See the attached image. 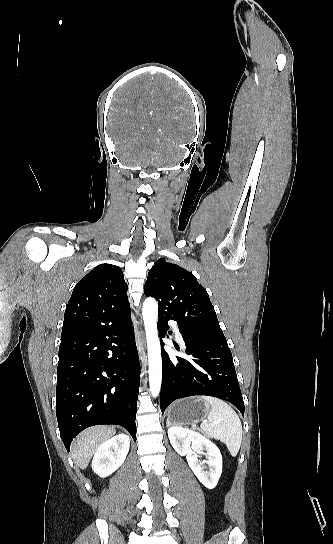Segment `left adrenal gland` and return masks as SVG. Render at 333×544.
Returning a JSON list of instances; mask_svg holds the SVG:
<instances>
[{"label":"left adrenal gland","mask_w":333,"mask_h":544,"mask_svg":"<svg viewBox=\"0 0 333 544\" xmlns=\"http://www.w3.org/2000/svg\"><path fill=\"white\" fill-rule=\"evenodd\" d=\"M166 425H167V427H170L171 424H170L169 420H167Z\"/></svg>","instance_id":"obj_1"}]
</instances>
